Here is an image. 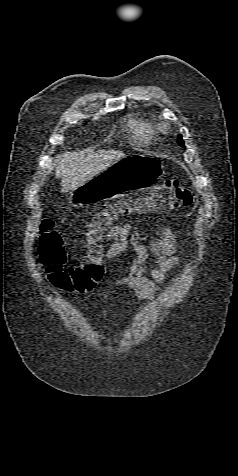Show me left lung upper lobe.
<instances>
[{"mask_svg": "<svg viewBox=\"0 0 238 476\" xmlns=\"http://www.w3.org/2000/svg\"><path fill=\"white\" fill-rule=\"evenodd\" d=\"M178 141H179V145H180L181 147H185L184 141L182 140V137H181V136L179 137V140H178Z\"/></svg>", "mask_w": 238, "mask_h": 476, "instance_id": "5c2ea615", "label": "left lung upper lobe"}]
</instances>
